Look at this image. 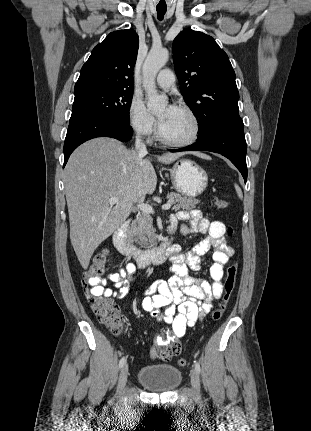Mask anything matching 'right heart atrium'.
<instances>
[{
	"label": "right heart atrium",
	"mask_w": 311,
	"mask_h": 431,
	"mask_svg": "<svg viewBox=\"0 0 311 431\" xmlns=\"http://www.w3.org/2000/svg\"><path fill=\"white\" fill-rule=\"evenodd\" d=\"M127 124L134 135L147 141L153 139L157 130L155 117L136 96H132L128 104Z\"/></svg>",
	"instance_id": "right-heart-atrium-1"
}]
</instances>
